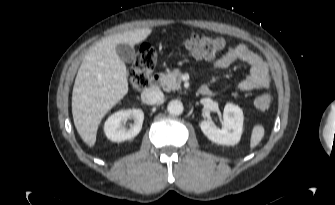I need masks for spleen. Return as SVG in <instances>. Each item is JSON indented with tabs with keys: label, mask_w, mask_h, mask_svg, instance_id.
<instances>
[{
	"label": "spleen",
	"mask_w": 335,
	"mask_h": 205,
	"mask_svg": "<svg viewBox=\"0 0 335 205\" xmlns=\"http://www.w3.org/2000/svg\"><path fill=\"white\" fill-rule=\"evenodd\" d=\"M265 130L262 125H255L252 130L251 139H250V148L253 149L256 147L264 136Z\"/></svg>",
	"instance_id": "3e777b00"
}]
</instances>
